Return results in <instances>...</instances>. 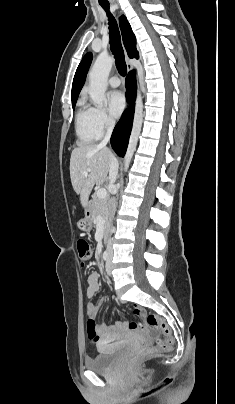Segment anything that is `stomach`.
<instances>
[{
  "label": "stomach",
  "mask_w": 235,
  "mask_h": 404,
  "mask_svg": "<svg viewBox=\"0 0 235 404\" xmlns=\"http://www.w3.org/2000/svg\"><path fill=\"white\" fill-rule=\"evenodd\" d=\"M77 227L83 232H90L92 229V218L90 209L86 208L85 217L78 221Z\"/></svg>",
  "instance_id": "1"
}]
</instances>
